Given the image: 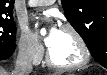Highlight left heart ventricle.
<instances>
[{
	"mask_svg": "<svg viewBox=\"0 0 107 75\" xmlns=\"http://www.w3.org/2000/svg\"><path fill=\"white\" fill-rule=\"evenodd\" d=\"M49 51L52 59L61 65L75 64L82 58L78 42L71 33L66 31L59 32L54 45Z\"/></svg>",
	"mask_w": 107,
	"mask_h": 75,
	"instance_id": "b2bd125f",
	"label": "left heart ventricle"
}]
</instances>
